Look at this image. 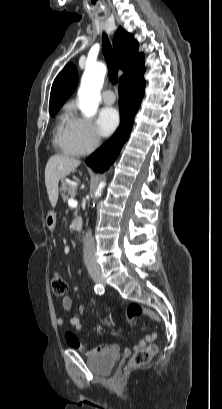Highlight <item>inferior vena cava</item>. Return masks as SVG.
<instances>
[{
    "instance_id": "602c4592",
    "label": "inferior vena cava",
    "mask_w": 222,
    "mask_h": 409,
    "mask_svg": "<svg viewBox=\"0 0 222 409\" xmlns=\"http://www.w3.org/2000/svg\"><path fill=\"white\" fill-rule=\"evenodd\" d=\"M84 263L89 272L99 271L100 267L95 256V242L91 230H88L84 240Z\"/></svg>"
}]
</instances>
